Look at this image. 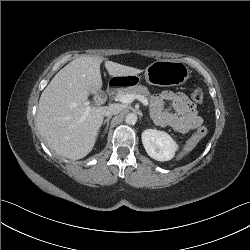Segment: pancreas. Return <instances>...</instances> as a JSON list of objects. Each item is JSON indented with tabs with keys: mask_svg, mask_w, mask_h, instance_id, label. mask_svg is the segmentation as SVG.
<instances>
[{
	"mask_svg": "<svg viewBox=\"0 0 250 250\" xmlns=\"http://www.w3.org/2000/svg\"><path fill=\"white\" fill-rule=\"evenodd\" d=\"M125 94L142 95L147 99L151 98L148 88L143 85H136L133 87L123 88L117 92V96L125 95Z\"/></svg>",
	"mask_w": 250,
	"mask_h": 250,
	"instance_id": "1",
	"label": "pancreas"
}]
</instances>
